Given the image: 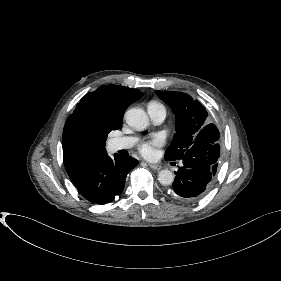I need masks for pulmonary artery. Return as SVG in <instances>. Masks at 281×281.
<instances>
[{"label":"pulmonary artery","mask_w":281,"mask_h":281,"mask_svg":"<svg viewBox=\"0 0 281 281\" xmlns=\"http://www.w3.org/2000/svg\"><path fill=\"white\" fill-rule=\"evenodd\" d=\"M148 113L151 120L156 124L163 122L166 117V111L163 108L150 106L148 107ZM135 141V138L132 137L117 138L113 140L112 147L114 150L128 149L134 145Z\"/></svg>","instance_id":"obj_1"}]
</instances>
